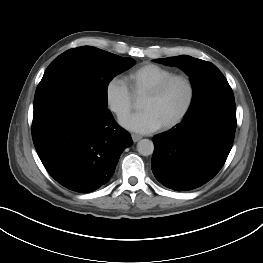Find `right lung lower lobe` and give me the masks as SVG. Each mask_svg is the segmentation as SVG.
Instances as JSON below:
<instances>
[{"mask_svg":"<svg viewBox=\"0 0 263 263\" xmlns=\"http://www.w3.org/2000/svg\"><path fill=\"white\" fill-rule=\"evenodd\" d=\"M32 138L48 173L79 193L106 184L121 153L133 144L109 110L98 111L73 99L34 108Z\"/></svg>","mask_w":263,"mask_h":263,"instance_id":"1","label":"right lung lower lobe"}]
</instances>
